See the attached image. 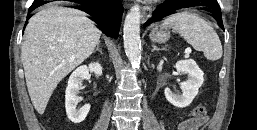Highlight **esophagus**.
I'll return each mask as SVG.
<instances>
[{
    "label": "esophagus",
    "mask_w": 257,
    "mask_h": 130,
    "mask_svg": "<svg viewBox=\"0 0 257 130\" xmlns=\"http://www.w3.org/2000/svg\"><path fill=\"white\" fill-rule=\"evenodd\" d=\"M152 13V9L149 6H144L141 11V21L144 22L146 19L150 17Z\"/></svg>",
    "instance_id": "obj_1"
}]
</instances>
